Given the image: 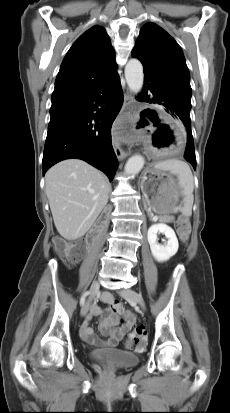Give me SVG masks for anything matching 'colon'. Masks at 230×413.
<instances>
[{
	"label": "colon",
	"mask_w": 230,
	"mask_h": 413,
	"mask_svg": "<svg viewBox=\"0 0 230 413\" xmlns=\"http://www.w3.org/2000/svg\"><path fill=\"white\" fill-rule=\"evenodd\" d=\"M175 227L178 233L177 243L185 244L187 241V237L190 233V227L187 219L185 217H180L177 220ZM54 249L57 252V254L65 257L70 263H73L77 259H79L84 252L83 244H72L64 240H56L54 242ZM111 304L115 311H122L121 304L118 300L114 299V301ZM145 336V327L142 325H137L130 334V341L138 345L144 340Z\"/></svg>",
	"instance_id": "colon-1"
}]
</instances>
